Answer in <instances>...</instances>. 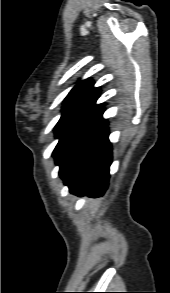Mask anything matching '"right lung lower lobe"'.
Instances as JSON below:
<instances>
[{"mask_svg": "<svg viewBox=\"0 0 170 293\" xmlns=\"http://www.w3.org/2000/svg\"><path fill=\"white\" fill-rule=\"evenodd\" d=\"M111 161V143L104 120L60 176L76 195L101 196L108 185Z\"/></svg>", "mask_w": 170, "mask_h": 293, "instance_id": "obj_1", "label": "right lung lower lobe"}]
</instances>
